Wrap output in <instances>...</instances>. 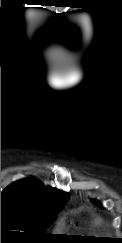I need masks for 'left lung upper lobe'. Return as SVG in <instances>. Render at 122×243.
Here are the masks:
<instances>
[{
    "label": "left lung upper lobe",
    "instance_id": "left-lung-upper-lobe-1",
    "mask_svg": "<svg viewBox=\"0 0 122 243\" xmlns=\"http://www.w3.org/2000/svg\"><path fill=\"white\" fill-rule=\"evenodd\" d=\"M93 203L99 205L98 201H93ZM99 206L102 207V205H99Z\"/></svg>",
    "mask_w": 122,
    "mask_h": 243
}]
</instances>
